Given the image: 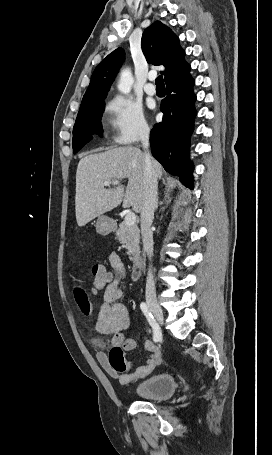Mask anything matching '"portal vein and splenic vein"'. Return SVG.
Returning a JSON list of instances; mask_svg holds the SVG:
<instances>
[{"label": "portal vein and splenic vein", "mask_w": 272, "mask_h": 455, "mask_svg": "<svg viewBox=\"0 0 272 455\" xmlns=\"http://www.w3.org/2000/svg\"><path fill=\"white\" fill-rule=\"evenodd\" d=\"M110 184L118 185L119 182H118V181H105V182H104V185H105V186H109ZM124 222H125L126 225H128V226L134 225L135 222H136V215H135L134 213H132V212L127 213L126 216H125Z\"/></svg>", "instance_id": "1"}]
</instances>
